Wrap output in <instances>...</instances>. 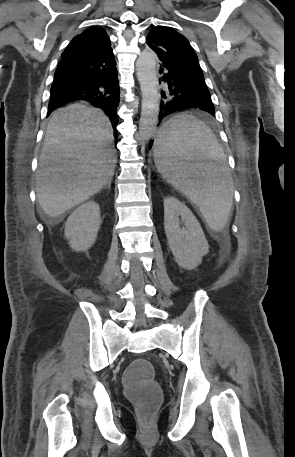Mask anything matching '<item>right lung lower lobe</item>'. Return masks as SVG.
Segmentation results:
<instances>
[{
    "label": "right lung lower lobe",
    "mask_w": 295,
    "mask_h": 457,
    "mask_svg": "<svg viewBox=\"0 0 295 457\" xmlns=\"http://www.w3.org/2000/svg\"><path fill=\"white\" fill-rule=\"evenodd\" d=\"M119 97L116 62L110 48L97 56L59 63L51 87L48 115L68 102L91 101L110 118L117 139Z\"/></svg>",
    "instance_id": "98d812e1"
}]
</instances>
